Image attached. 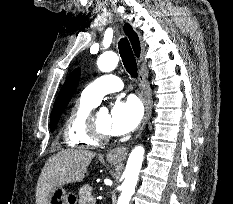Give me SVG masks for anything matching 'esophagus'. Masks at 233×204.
I'll list each match as a JSON object with an SVG mask.
<instances>
[{
    "instance_id": "esophagus-1",
    "label": "esophagus",
    "mask_w": 233,
    "mask_h": 204,
    "mask_svg": "<svg viewBox=\"0 0 233 204\" xmlns=\"http://www.w3.org/2000/svg\"><path fill=\"white\" fill-rule=\"evenodd\" d=\"M138 81H139V86H140V90H141L142 101H143L144 106H145V114H144V118L142 121V125H141L135 139L140 136L143 128L145 127V125L147 124L148 120L151 117V111H152L151 93H150V90L148 88L147 82L145 80V77H144L142 71L139 72ZM129 146H130V144L127 146L116 147V148L110 150L107 153V159L112 160V161H117V162L123 161L127 156Z\"/></svg>"
}]
</instances>
